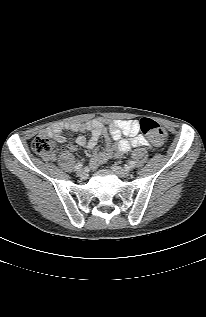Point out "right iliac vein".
<instances>
[{
	"instance_id": "1",
	"label": "right iliac vein",
	"mask_w": 206,
	"mask_h": 317,
	"mask_svg": "<svg viewBox=\"0 0 206 317\" xmlns=\"http://www.w3.org/2000/svg\"><path fill=\"white\" fill-rule=\"evenodd\" d=\"M77 175L81 178H86L88 176L87 172L83 169L78 170Z\"/></svg>"
}]
</instances>
